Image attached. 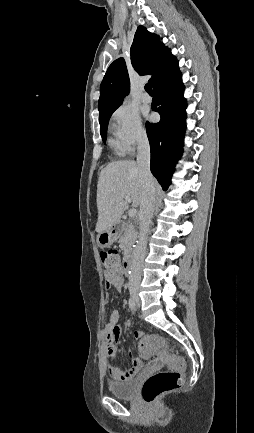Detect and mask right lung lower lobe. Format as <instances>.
Returning <instances> with one entry per match:
<instances>
[{"instance_id": "1", "label": "right lung lower lobe", "mask_w": 254, "mask_h": 433, "mask_svg": "<svg viewBox=\"0 0 254 433\" xmlns=\"http://www.w3.org/2000/svg\"><path fill=\"white\" fill-rule=\"evenodd\" d=\"M152 109L158 112V123H146L151 148V172L164 190L170 183L175 164L182 153L186 129V100L178 62L154 88Z\"/></svg>"}]
</instances>
